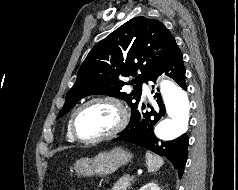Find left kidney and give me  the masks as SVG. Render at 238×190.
Instances as JSON below:
<instances>
[{
  "instance_id": "1",
  "label": "left kidney",
  "mask_w": 238,
  "mask_h": 190,
  "mask_svg": "<svg viewBox=\"0 0 238 190\" xmlns=\"http://www.w3.org/2000/svg\"><path fill=\"white\" fill-rule=\"evenodd\" d=\"M140 190H160V187L156 183H148L141 187Z\"/></svg>"
}]
</instances>
